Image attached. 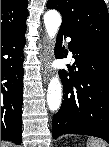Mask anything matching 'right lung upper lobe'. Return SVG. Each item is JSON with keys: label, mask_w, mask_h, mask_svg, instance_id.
Wrapping results in <instances>:
<instances>
[{"label": "right lung upper lobe", "mask_w": 109, "mask_h": 147, "mask_svg": "<svg viewBox=\"0 0 109 147\" xmlns=\"http://www.w3.org/2000/svg\"><path fill=\"white\" fill-rule=\"evenodd\" d=\"M28 0H1V38L26 27Z\"/></svg>", "instance_id": "right-lung-upper-lobe-1"}]
</instances>
